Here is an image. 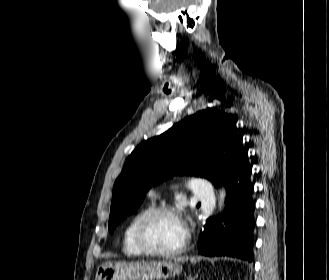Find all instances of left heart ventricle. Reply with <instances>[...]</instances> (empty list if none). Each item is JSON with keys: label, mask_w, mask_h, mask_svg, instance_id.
<instances>
[{"label": "left heart ventricle", "mask_w": 329, "mask_h": 280, "mask_svg": "<svg viewBox=\"0 0 329 280\" xmlns=\"http://www.w3.org/2000/svg\"><path fill=\"white\" fill-rule=\"evenodd\" d=\"M184 237V230L178 217L162 214L149 225L148 239L158 249H171L178 246Z\"/></svg>", "instance_id": "obj_1"}]
</instances>
